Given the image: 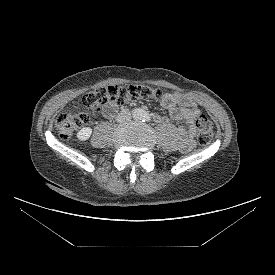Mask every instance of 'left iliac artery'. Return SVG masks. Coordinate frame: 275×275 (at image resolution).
<instances>
[{"mask_svg":"<svg viewBox=\"0 0 275 275\" xmlns=\"http://www.w3.org/2000/svg\"><path fill=\"white\" fill-rule=\"evenodd\" d=\"M151 120V117H150V115L148 114V113H144L143 114V121H150Z\"/></svg>","mask_w":275,"mask_h":275,"instance_id":"left-iliac-artery-1","label":"left iliac artery"}]
</instances>
